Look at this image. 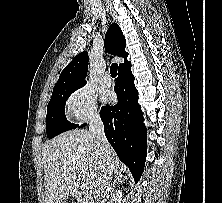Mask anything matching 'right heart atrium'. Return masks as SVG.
<instances>
[{
    "label": "right heart atrium",
    "mask_w": 222,
    "mask_h": 203,
    "mask_svg": "<svg viewBox=\"0 0 222 203\" xmlns=\"http://www.w3.org/2000/svg\"><path fill=\"white\" fill-rule=\"evenodd\" d=\"M67 112L76 123L86 122L97 117L98 111L94 93L86 87L75 90L68 98Z\"/></svg>",
    "instance_id": "obj_1"
}]
</instances>
